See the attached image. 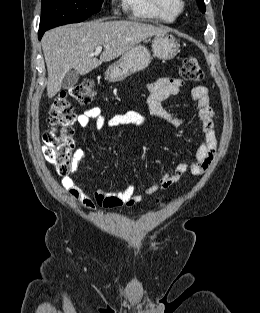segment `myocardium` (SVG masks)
<instances>
[{
	"label": "myocardium",
	"mask_w": 260,
	"mask_h": 313,
	"mask_svg": "<svg viewBox=\"0 0 260 313\" xmlns=\"http://www.w3.org/2000/svg\"><path fill=\"white\" fill-rule=\"evenodd\" d=\"M177 1V7L181 11L184 8V2L182 0H176Z\"/></svg>",
	"instance_id": "f54148a6"
}]
</instances>
